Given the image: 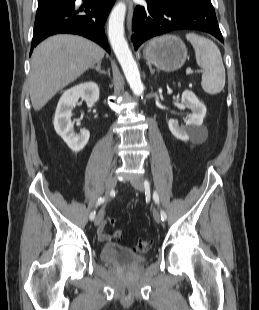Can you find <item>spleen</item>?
I'll return each instance as SVG.
<instances>
[{"label": "spleen", "mask_w": 259, "mask_h": 310, "mask_svg": "<svg viewBox=\"0 0 259 310\" xmlns=\"http://www.w3.org/2000/svg\"><path fill=\"white\" fill-rule=\"evenodd\" d=\"M196 56L197 64L203 68L201 86L211 95L220 93L225 86V68L217 45L210 39L196 33H187Z\"/></svg>", "instance_id": "obj_1"}]
</instances>
